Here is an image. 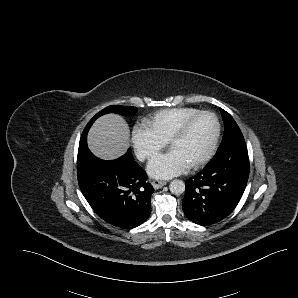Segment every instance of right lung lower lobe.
<instances>
[{"instance_id": "obj_1", "label": "right lung lower lobe", "mask_w": 298, "mask_h": 298, "mask_svg": "<svg viewBox=\"0 0 298 298\" xmlns=\"http://www.w3.org/2000/svg\"><path fill=\"white\" fill-rule=\"evenodd\" d=\"M77 176L86 200L106 222L131 229L149 217L154 189L132 154L105 161L89 151L78 157Z\"/></svg>"}]
</instances>
